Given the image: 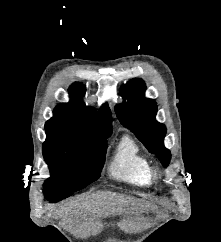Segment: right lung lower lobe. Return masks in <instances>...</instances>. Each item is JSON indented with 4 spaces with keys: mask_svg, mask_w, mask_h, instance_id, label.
<instances>
[{
    "mask_svg": "<svg viewBox=\"0 0 221 242\" xmlns=\"http://www.w3.org/2000/svg\"><path fill=\"white\" fill-rule=\"evenodd\" d=\"M45 197L47 200H49L51 203L58 202L64 198H67L66 196L57 194V193H52V192H44Z\"/></svg>",
    "mask_w": 221,
    "mask_h": 242,
    "instance_id": "1",
    "label": "right lung lower lobe"
}]
</instances>
